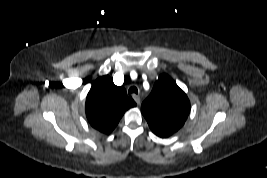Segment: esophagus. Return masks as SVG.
<instances>
[{"instance_id":"obj_1","label":"esophagus","mask_w":267,"mask_h":178,"mask_svg":"<svg viewBox=\"0 0 267 178\" xmlns=\"http://www.w3.org/2000/svg\"><path fill=\"white\" fill-rule=\"evenodd\" d=\"M132 97H133L134 101L139 105L140 104V97L137 95H133Z\"/></svg>"}]
</instances>
